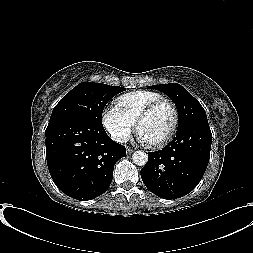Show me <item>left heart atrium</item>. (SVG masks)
<instances>
[{"label":"left heart atrium","instance_id":"39dd6f15","mask_svg":"<svg viewBox=\"0 0 253 253\" xmlns=\"http://www.w3.org/2000/svg\"><path fill=\"white\" fill-rule=\"evenodd\" d=\"M137 140L140 142V143H149L148 140L146 139V137L141 134L140 132L137 133Z\"/></svg>","mask_w":253,"mask_h":253}]
</instances>
